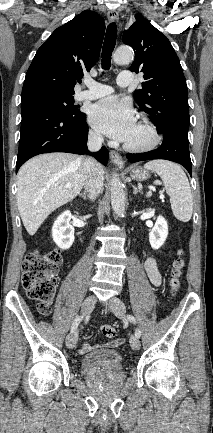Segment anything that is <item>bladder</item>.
<instances>
[{
  "mask_svg": "<svg viewBox=\"0 0 213 433\" xmlns=\"http://www.w3.org/2000/svg\"><path fill=\"white\" fill-rule=\"evenodd\" d=\"M122 356L113 349H101L84 355L80 361L81 369L86 373H103L119 370Z\"/></svg>",
  "mask_w": 213,
  "mask_h": 433,
  "instance_id": "bladder-1",
  "label": "bladder"
}]
</instances>
